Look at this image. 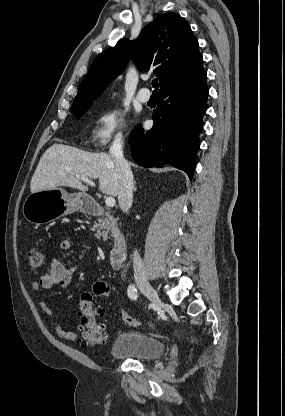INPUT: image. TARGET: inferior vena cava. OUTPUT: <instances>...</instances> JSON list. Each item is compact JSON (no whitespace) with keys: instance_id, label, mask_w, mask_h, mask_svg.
<instances>
[{"instance_id":"obj_1","label":"inferior vena cava","mask_w":285,"mask_h":416,"mask_svg":"<svg viewBox=\"0 0 285 416\" xmlns=\"http://www.w3.org/2000/svg\"><path fill=\"white\" fill-rule=\"evenodd\" d=\"M109 154L112 158H114L117 172H119L121 178L118 196L119 206L122 212H128L129 208H131L133 200V174L127 160L123 158L122 134H117L112 146L109 148ZM133 268L135 274H139V276L141 274V276H144V264L138 252H134L133 254Z\"/></svg>"}]
</instances>
